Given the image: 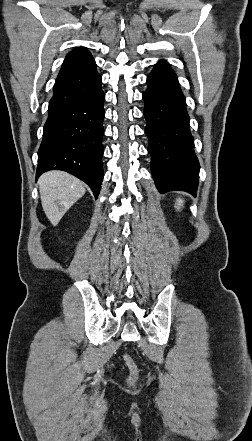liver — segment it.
Returning a JSON list of instances; mask_svg holds the SVG:
<instances>
[{"instance_id": "obj_1", "label": "liver", "mask_w": 252, "mask_h": 441, "mask_svg": "<svg viewBox=\"0 0 252 441\" xmlns=\"http://www.w3.org/2000/svg\"><path fill=\"white\" fill-rule=\"evenodd\" d=\"M41 204L53 226L86 192L84 183L63 171H48L38 180Z\"/></svg>"}]
</instances>
